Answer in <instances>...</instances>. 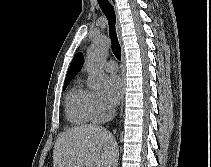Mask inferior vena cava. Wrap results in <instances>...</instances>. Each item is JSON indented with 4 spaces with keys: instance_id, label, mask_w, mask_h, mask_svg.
<instances>
[{
    "instance_id": "602c4592",
    "label": "inferior vena cava",
    "mask_w": 211,
    "mask_h": 167,
    "mask_svg": "<svg viewBox=\"0 0 211 167\" xmlns=\"http://www.w3.org/2000/svg\"><path fill=\"white\" fill-rule=\"evenodd\" d=\"M114 115H115V110H111L110 117H113Z\"/></svg>"
}]
</instances>
